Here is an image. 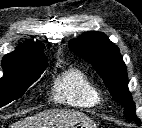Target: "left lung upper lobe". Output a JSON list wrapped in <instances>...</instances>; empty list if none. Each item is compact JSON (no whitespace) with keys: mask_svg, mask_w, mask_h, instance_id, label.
<instances>
[{"mask_svg":"<svg viewBox=\"0 0 142 128\" xmlns=\"http://www.w3.org/2000/svg\"><path fill=\"white\" fill-rule=\"evenodd\" d=\"M69 48L93 65L111 95L125 107V117L130 121L136 119V107L127 87V70L118 47L102 32H88L69 41Z\"/></svg>","mask_w":142,"mask_h":128,"instance_id":"obj_1","label":"left lung upper lobe"}]
</instances>
